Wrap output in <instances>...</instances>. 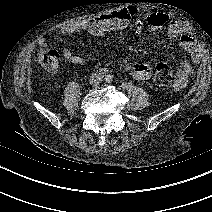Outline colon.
<instances>
[{
    "label": "colon",
    "instance_id": "1",
    "mask_svg": "<svg viewBox=\"0 0 212 212\" xmlns=\"http://www.w3.org/2000/svg\"><path fill=\"white\" fill-rule=\"evenodd\" d=\"M35 59L44 69L50 72H55L60 67V55L55 50L38 51ZM153 80L159 86H170L174 81L171 67L166 63L156 64Z\"/></svg>",
    "mask_w": 212,
    "mask_h": 212
}]
</instances>
